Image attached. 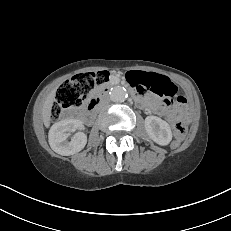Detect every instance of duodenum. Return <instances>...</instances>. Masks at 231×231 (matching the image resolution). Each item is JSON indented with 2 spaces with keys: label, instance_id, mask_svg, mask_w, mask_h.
<instances>
[{
  "label": "duodenum",
  "instance_id": "duodenum-1",
  "mask_svg": "<svg viewBox=\"0 0 231 231\" xmlns=\"http://www.w3.org/2000/svg\"><path fill=\"white\" fill-rule=\"evenodd\" d=\"M108 89L107 88H103L95 97H93L88 105H87V111L86 113L88 115H91L92 112L95 110V108L99 105V103L102 101L103 96L107 93ZM140 93L138 92H134V95L137 97V99H141V97L139 96Z\"/></svg>",
  "mask_w": 231,
  "mask_h": 231
}]
</instances>
